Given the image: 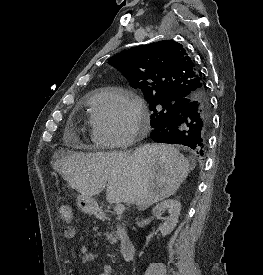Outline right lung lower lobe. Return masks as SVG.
I'll list each match as a JSON object with an SVG mask.
<instances>
[{
	"mask_svg": "<svg viewBox=\"0 0 263 275\" xmlns=\"http://www.w3.org/2000/svg\"><path fill=\"white\" fill-rule=\"evenodd\" d=\"M210 126V101L203 89L193 95L178 113L155 126L150 137L158 143L190 147L203 156Z\"/></svg>",
	"mask_w": 263,
	"mask_h": 275,
	"instance_id": "obj_1",
	"label": "right lung lower lobe"
}]
</instances>
